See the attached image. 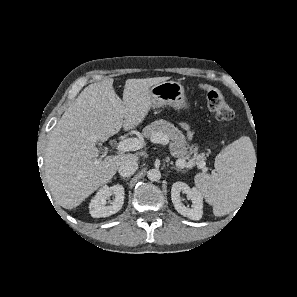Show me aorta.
<instances>
[{
    "mask_svg": "<svg viewBox=\"0 0 297 297\" xmlns=\"http://www.w3.org/2000/svg\"><path fill=\"white\" fill-rule=\"evenodd\" d=\"M147 176L151 181H158L161 178V173L159 169H151L148 171Z\"/></svg>",
    "mask_w": 297,
    "mask_h": 297,
    "instance_id": "762f6f07",
    "label": "aorta"
}]
</instances>
